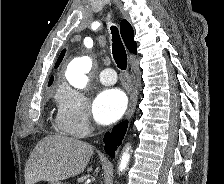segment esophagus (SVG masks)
<instances>
[{
	"mask_svg": "<svg viewBox=\"0 0 224 184\" xmlns=\"http://www.w3.org/2000/svg\"><path fill=\"white\" fill-rule=\"evenodd\" d=\"M136 103H137V94H136V92H134L132 95V98H131L129 109L126 114L127 119H129L133 115V113L135 111Z\"/></svg>",
	"mask_w": 224,
	"mask_h": 184,
	"instance_id": "34e87169",
	"label": "esophagus"
}]
</instances>
